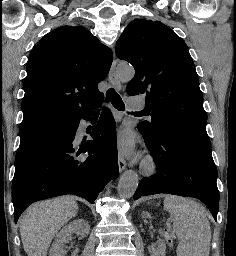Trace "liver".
Returning <instances> with one entry per match:
<instances>
[{
  "instance_id": "1",
  "label": "liver",
  "mask_w": 236,
  "mask_h": 256,
  "mask_svg": "<svg viewBox=\"0 0 236 256\" xmlns=\"http://www.w3.org/2000/svg\"><path fill=\"white\" fill-rule=\"evenodd\" d=\"M77 212L78 204L70 196L30 206L20 220L21 240L27 256H47L55 234Z\"/></svg>"
}]
</instances>
